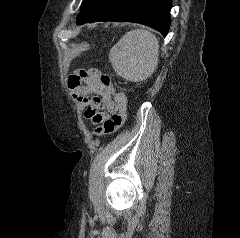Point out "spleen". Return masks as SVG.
<instances>
[{
    "instance_id": "3e777b00",
    "label": "spleen",
    "mask_w": 240,
    "mask_h": 238,
    "mask_svg": "<svg viewBox=\"0 0 240 238\" xmlns=\"http://www.w3.org/2000/svg\"><path fill=\"white\" fill-rule=\"evenodd\" d=\"M158 58L159 44L156 36L143 29L127 32L109 53L115 72L133 82L150 77L157 68Z\"/></svg>"
}]
</instances>
